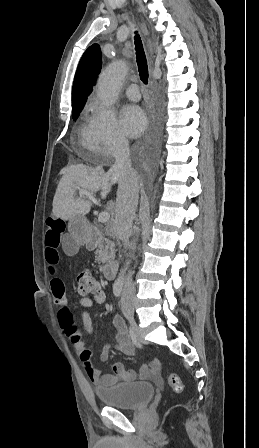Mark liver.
Instances as JSON below:
<instances>
[{
    "label": "liver",
    "instance_id": "obj_1",
    "mask_svg": "<svg viewBox=\"0 0 259 448\" xmlns=\"http://www.w3.org/2000/svg\"><path fill=\"white\" fill-rule=\"evenodd\" d=\"M63 174L56 194L53 200V216L55 220H76L85 214H89L91 210V202L78 198L75 200V190L85 188L91 192H97L103 188L105 194H108L110 186L113 184L112 172H105V170H96V168H87L83 164L77 166H69L62 170ZM111 214L114 212L113 206H108Z\"/></svg>",
    "mask_w": 259,
    "mask_h": 448
}]
</instances>
